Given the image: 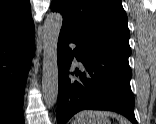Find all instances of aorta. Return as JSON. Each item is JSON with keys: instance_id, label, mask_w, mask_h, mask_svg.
I'll return each mask as SVG.
<instances>
[{"instance_id": "1", "label": "aorta", "mask_w": 156, "mask_h": 124, "mask_svg": "<svg viewBox=\"0 0 156 124\" xmlns=\"http://www.w3.org/2000/svg\"><path fill=\"white\" fill-rule=\"evenodd\" d=\"M62 22L60 13H50L43 25L42 93L47 107H53L58 97L57 45Z\"/></svg>"}]
</instances>
